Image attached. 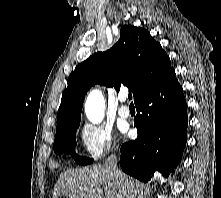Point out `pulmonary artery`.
Returning <instances> with one entry per match:
<instances>
[{"label": "pulmonary artery", "mask_w": 221, "mask_h": 198, "mask_svg": "<svg viewBox=\"0 0 221 198\" xmlns=\"http://www.w3.org/2000/svg\"><path fill=\"white\" fill-rule=\"evenodd\" d=\"M118 98L121 103H124L127 99V95L126 93H121ZM118 114L121 118H128L130 116L129 107L126 105H121L118 109Z\"/></svg>", "instance_id": "pulmonary-artery-1"}]
</instances>
